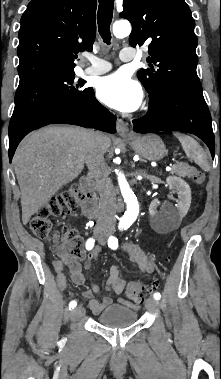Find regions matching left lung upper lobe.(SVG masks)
Masks as SVG:
<instances>
[{
	"label": "left lung upper lobe",
	"instance_id": "5c2ea615",
	"mask_svg": "<svg viewBox=\"0 0 221 379\" xmlns=\"http://www.w3.org/2000/svg\"><path fill=\"white\" fill-rule=\"evenodd\" d=\"M121 17L132 24L129 43H149L150 68L137 76L152 95L159 88L202 94L196 73L195 22L185 0H123Z\"/></svg>",
	"mask_w": 221,
	"mask_h": 379
}]
</instances>
